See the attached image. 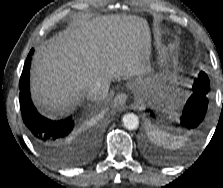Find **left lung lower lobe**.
I'll return each mask as SVG.
<instances>
[{
  "instance_id": "left-lung-lower-lobe-1",
  "label": "left lung lower lobe",
  "mask_w": 223,
  "mask_h": 188,
  "mask_svg": "<svg viewBox=\"0 0 223 188\" xmlns=\"http://www.w3.org/2000/svg\"><path fill=\"white\" fill-rule=\"evenodd\" d=\"M208 107V97L198 91H194L185 104L181 116L180 129L178 135L193 138L201 129ZM150 124H154L155 114L152 110H146Z\"/></svg>"
}]
</instances>
